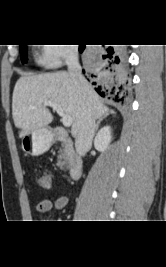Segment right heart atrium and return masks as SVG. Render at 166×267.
Returning <instances> with one entry per match:
<instances>
[{
  "label": "right heart atrium",
  "instance_id": "obj_1",
  "mask_svg": "<svg viewBox=\"0 0 166 267\" xmlns=\"http://www.w3.org/2000/svg\"><path fill=\"white\" fill-rule=\"evenodd\" d=\"M43 63L50 68L60 66L64 61L75 55V50L68 45L45 44L43 51Z\"/></svg>",
  "mask_w": 166,
  "mask_h": 267
}]
</instances>
